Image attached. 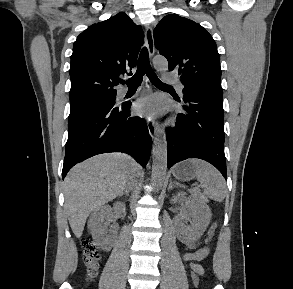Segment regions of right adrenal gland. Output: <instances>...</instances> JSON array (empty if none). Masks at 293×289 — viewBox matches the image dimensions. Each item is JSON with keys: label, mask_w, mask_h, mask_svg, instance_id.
I'll use <instances>...</instances> for the list:
<instances>
[{"label": "right adrenal gland", "mask_w": 293, "mask_h": 289, "mask_svg": "<svg viewBox=\"0 0 293 289\" xmlns=\"http://www.w3.org/2000/svg\"><path fill=\"white\" fill-rule=\"evenodd\" d=\"M123 195H125L126 197H128V196H129V190L126 189L124 192H122V193L120 194V197H122Z\"/></svg>", "instance_id": "obj_1"}]
</instances>
